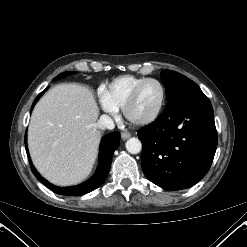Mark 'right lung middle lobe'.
I'll list each match as a JSON object with an SVG mask.
<instances>
[{"label": "right lung middle lobe", "mask_w": 247, "mask_h": 247, "mask_svg": "<svg viewBox=\"0 0 247 247\" xmlns=\"http://www.w3.org/2000/svg\"><path fill=\"white\" fill-rule=\"evenodd\" d=\"M69 73H76L75 71H71V72H64V73H61L59 74L56 78H54V80H57L59 78H63L65 76H67Z\"/></svg>", "instance_id": "1"}]
</instances>
